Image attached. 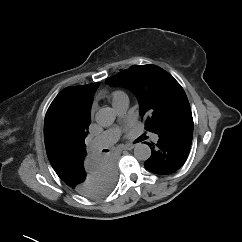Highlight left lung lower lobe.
<instances>
[{"label":"left lung lower lobe","mask_w":242,"mask_h":242,"mask_svg":"<svg viewBox=\"0 0 242 242\" xmlns=\"http://www.w3.org/2000/svg\"><path fill=\"white\" fill-rule=\"evenodd\" d=\"M159 140L152 148L151 157L144 163L147 170L167 175L177 171L186 161L193 137L192 114L170 122L156 132Z\"/></svg>","instance_id":"1"}]
</instances>
